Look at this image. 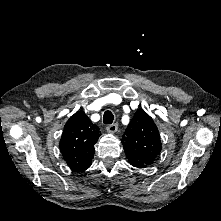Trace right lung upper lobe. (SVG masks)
Masks as SVG:
<instances>
[{"label": "right lung upper lobe", "instance_id": "obj_1", "mask_svg": "<svg viewBox=\"0 0 221 221\" xmlns=\"http://www.w3.org/2000/svg\"><path fill=\"white\" fill-rule=\"evenodd\" d=\"M99 138V128L92 124L83 111L72 115L64 126L60 151L73 171L88 169L94 156V144Z\"/></svg>", "mask_w": 221, "mask_h": 221}]
</instances>
